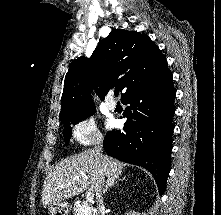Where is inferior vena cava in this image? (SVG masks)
I'll return each instance as SVG.
<instances>
[{"label": "inferior vena cava", "instance_id": "obj_1", "mask_svg": "<svg viewBox=\"0 0 221 215\" xmlns=\"http://www.w3.org/2000/svg\"><path fill=\"white\" fill-rule=\"evenodd\" d=\"M93 151L96 155L102 156L103 152V145L100 143V141H96ZM105 182V175L102 166H100V177L97 180V184L95 187V195L96 200L99 203V207L103 209V198H102V190Z\"/></svg>", "mask_w": 221, "mask_h": 215}]
</instances>
